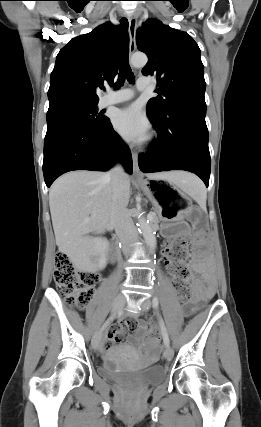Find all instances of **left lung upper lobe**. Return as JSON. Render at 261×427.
I'll return each mask as SVG.
<instances>
[{
  "label": "left lung upper lobe",
  "mask_w": 261,
  "mask_h": 427,
  "mask_svg": "<svg viewBox=\"0 0 261 427\" xmlns=\"http://www.w3.org/2000/svg\"><path fill=\"white\" fill-rule=\"evenodd\" d=\"M137 47L148 56L144 75L155 74L162 96L151 98L147 113L162 118L181 102L206 105L204 66L200 49L185 32L164 25L158 20H147L136 35Z\"/></svg>",
  "instance_id": "1"
}]
</instances>
